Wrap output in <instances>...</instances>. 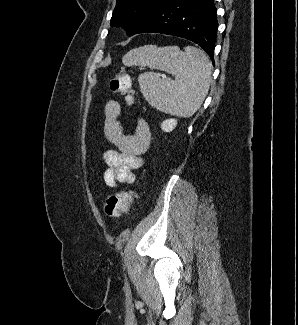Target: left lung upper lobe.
I'll use <instances>...</instances> for the list:
<instances>
[{"instance_id":"obj_1","label":"left lung upper lobe","mask_w":298,"mask_h":325,"mask_svg":"<svg viewBox=\"0 0 298 325\" xmlns=\"http://www.w3.org/2000/svg\"><path fill=\"white\" fill-rule=\"evenodd\" d=\"M165 0H117L111 26L123 25L128 35L143 24Z\"/></svg>"}]
</instances>
